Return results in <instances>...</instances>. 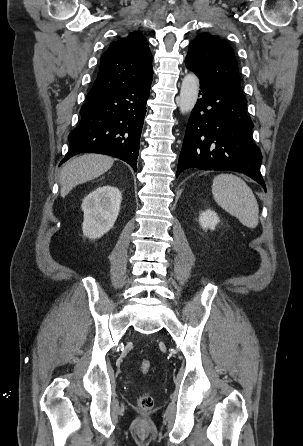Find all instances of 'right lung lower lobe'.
<instances>
[{"label": "right lung lower lobe", "mask_w": 303, "mask_h": 446, "mask_svg": "<svg viewBox=\"0 0 303 446\" xmlns=\"http://www.w3.org/2000/svg\"><path fill=\"white\" fill-rule=\"evenodd\" d=\"M151 82L152 76L87 98L79 125L68 136L70 148L61 164L79 153H100L119 158L136 171Z\"/></svg>", "instance_id": "obj_1"}]
</instances>
